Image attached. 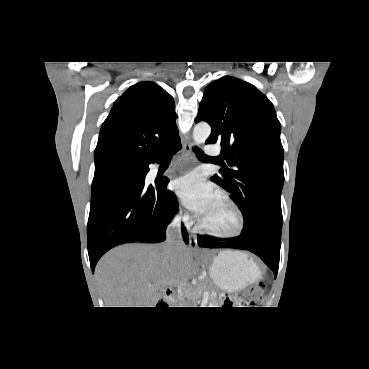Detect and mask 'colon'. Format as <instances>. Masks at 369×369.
Masks as SVG:
<instances>
[{"label":"colon","mask_w":369,"mask_h":369,"mask_svg":"<svg viewBox=\"0 0 369 369\" xmlns=\"http://www.w3.org/2000/svg\"><path fill=\"white\" fill-rule=\"evenodd\" d=\"M264 287L262 283L255 284L241 293L240 296L230 297L225 296L222 298V304L225 307L236 306H252L260 303L263 299Z\"/></svg>","instance_id":"obj_1"}]
</instances>
